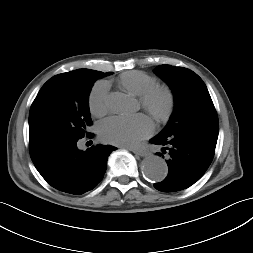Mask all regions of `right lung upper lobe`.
I'll return each instance as SVG.
<instances>
[{"label":"right lung upper lobe","instance_id":"right-lung-upper-lobe-1","mask_svg":"<svg viewBox=\"0 0 253 253\" xmlns=\"http://www.w3.org/2000/svg\"><path fill=\"white\" fill-rule=\"evenodd\" d=\"M87 70H90V69H78V70H74L73 72H82V71H87Z\"/></svg>","mask_w":253,"mask_h":253}]
</instances>
